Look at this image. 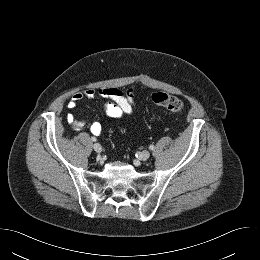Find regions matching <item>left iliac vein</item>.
<instances>
[{"label":"left iliac vein","instance_id":"1","mask_svg":"<svg viewBox=\"0 0 260 260\" xmlns=\"http://www.w3.org/2000/svg\"><path fill=\"white\" fill-rule=\"evenodd\" d=\"M150 157V152L145 150V151H142L140 156H139V159L141 161H146L148 158Z\"/></svg>","mask_w":260,"mask_h":260}]
</instances>
